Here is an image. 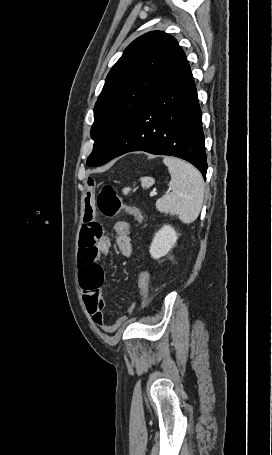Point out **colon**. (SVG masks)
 I'll use <instances>...</instances> for the list:
<instances>
[{"mask_svg": "<svg viewBox=\"0 0 272 455\" xmlns=\"http://www.w3.org/2000/svg\"><path fill=\"white\" fill-rule=\"evenodd\" d=\"M97 205L99 210L107 217H114L120 212H125L137 220L140 218L138 208L130 203H125L110 185H105L100 191L97 198ZM149 279V272L146 269H141L137 286L139 302L141 304H144L147 298Z\"/></svg>", "mask_w": 272, "mask_h": 455, "instance_id": "colon-1", "label": "colon"}]
</instances>
